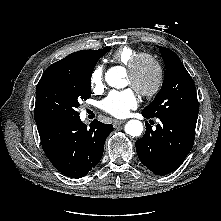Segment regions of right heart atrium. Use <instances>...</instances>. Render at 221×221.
I'll list each match as a JSON object with an SVG mask.
<instances>
[{
    "label": "right heart atrium",
    "instance_id": "1",
    "mask_svg": "<svg viewBox=\"0 0 221 221\" xmlns=\"http://www.w3.org/2000/svg\"><path fill=\"white\" fill-rule=\"evenodd\" d=\"M90 86L94 91H99L103 88V68L97 65L90 75Z\"/></svg>",
    "mask_w": 221,
    "mask_h": 221
}]
</instances>
